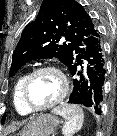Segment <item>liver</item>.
I'll return each instance as SVG.
<instances>
[{
  "mask_svg": "<svg viewBox=\"0 0 117 136\" xmlns=\"http://www.w3.org/2000/svg\"><path fill=\"white\" fill-rule=\"evenodd\" d=\"M17 125L15 123L11 124L10 126H8V128L6 129V134L10 133L11 131L16 130Z\"/></svg>",
  "mask_w": 117,
  "mask_h": 136,
  "instance_id": "1",
  "label": "liver"
}]
</instances>
